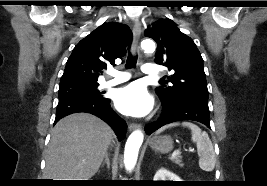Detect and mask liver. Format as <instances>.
<instances>
[{
	"mask_svg": "<svg viewBox=\"0 0 267 186\" xmlns=\"http://www.w3.org/2000/svg\"><path fill=\"white\" fill-rule=\"evenodd\" d=\"M113 138L112 129L88 113L61 119L51 132L44 177L89 180L98 171Z\"/></svg>",
	"mask_w": 267,
	"mask_h": 186,
	"instance_id": "obj_1",
	"label": "liver"
}]
</instances>
